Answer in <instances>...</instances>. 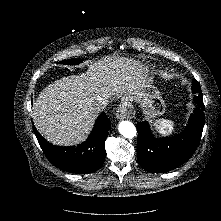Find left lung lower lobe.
<instances>
[{"label":"left lung lower lobe","instance_id":"0a47b994","mask_svg":"<svg viewBox=\"0 0 221 221\" xmlns=\"http://www.w3.org/2000/svg\"><path fill=\"white\" fill-rule=\"evenodd\" d=\"M198 107L188 121V125L178 135L155 138L148 122L137 124L138 163L146 171L159 173L173 170L188 161L197 149L204 123V104L202 93L195 96Z\"/></svg>","mask_w":221,"mask_h":221}]
</instances>
